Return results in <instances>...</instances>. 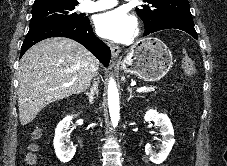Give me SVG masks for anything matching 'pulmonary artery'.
Wrapping results in <instances>:
<instances>
[{"instance_id":"pulmonary-artery-1","label":"pulmonary artery","mask_w":227,"mask_h":166,"mask_svg":"<svg viewBox=\"0 0 227 166\" xmlns=\"http://www.w3.org/2000/svg\"><path fill=\"white\" fill-rule=\"evenodd\" d=\"M118 0H87L80 5V9L85 12H97L116 6Z\"/></svg>"}]
</instances>
